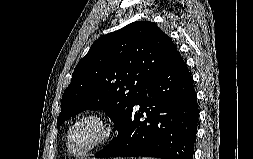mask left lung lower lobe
<instances>
[{
  "mask_svg": "<svg viewBox=\"0 0 253 159\" xmlns=\"http://www.w3.org/2000/svg\"><path fill=\"white\" fill-rule=\"evenodd\" d=\"M198 115L192 76L178 52L148 83L117 137L95 157L193 159Z\"/></svg>",
  "mask_w": 253,
  "mask_h": 159,
  "instance_id": "left-lung-lower-lobe-1",
  "label": "left lung lower lobe"
}]
</instances>
